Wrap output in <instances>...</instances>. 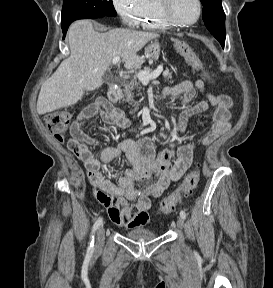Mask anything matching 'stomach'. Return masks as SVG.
<instances>
[{
  "label": "stomach",
  "mask_w": 273,
  "mask_h": 288,
  "mask_svg": "<svg viewBox=\"0 0 273 288\" xmlns=\"http://www.w3.org/2000/svg\"><path fill=\"white\" fill-rule=\"evenodd\" d=\"M160 54V44L157 40L152 41L146 48H145V56L148 59H157Z\"/></svg>",
  "instance_id": "1"
}]
</instances>
